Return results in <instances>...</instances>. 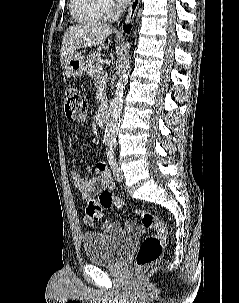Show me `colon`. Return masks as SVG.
Segmentation results:
<instances>
[{
    "label": "colon",
    "instance_id": "1",
    "mask_svg": "<svg viewBox=\"0 0 239 303\" xmlns=\"http://www.w3.org/2000/svg\"><path fill=\"white\" fill-rule=\"evenodd\" d=\"M64 107L67 118L76 120L86 113L87 100L76 88L69 87L64 93ZM110 206L119 209L128 208L124 199L114 196L109 191H103L96 199L89 200L85 208V216L92 221L99 220L101 209ZM134 211L140 216L143 227L154 230V234L144 238L136 255L137 268L143 269L153 265L161 258L163 243L168 236V230L155 214L142 209H135Z\"/></svg>",
    "mask_w": 239,
    "mask_h": 303
}]
</instances>
